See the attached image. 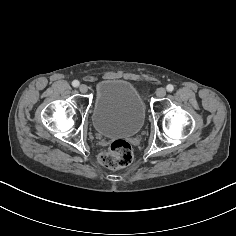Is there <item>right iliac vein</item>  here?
Listing matches in <instances>:
<instances>
[{"mask_svg":"<svg viewBox=\"0 0 236 236\" xmlns=\"http://www.w3.org/2000/svg\"><path fill=\"white\" fill-rule=\"evenodd\" d=\"M79 91H80L81 93H86V92L88 91V87H87L85 84H81V85L79 86Z\"/></svg>","mask_w":236,"mask_h":236,"instance_id":"right-iliac-vein-1","label":"right iliac vein"}]
</instances>
